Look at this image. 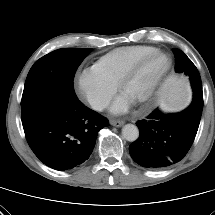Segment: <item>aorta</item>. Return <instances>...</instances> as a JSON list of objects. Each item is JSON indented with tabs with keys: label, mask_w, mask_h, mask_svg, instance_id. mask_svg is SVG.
<instances>
[{
	"label": "aorta",
	"mask_w": 215,
	"mask_h": 215,
	"mask_svg": "<svg viewBox=\"0 0 215 215\" xmlns=\"http://www.w3.org/2000/svg\"><path fill=\"white\" fill-rule=\"evenodd\" d=\"M122 135L127 141L134 142L139 137L138 127L133 124H126L122 128Z\"/></svg>",
	"instance_id": "1"
}]
</instances>
